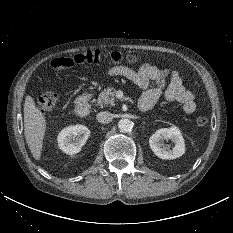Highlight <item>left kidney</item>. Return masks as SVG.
I'll return each instance as SVG.
<instances>
[{"label":"left kidney","instance_id":"5707ae66","mask_svg":"<svg viewBox=\"0 0 233 233\" xmlns=\"http://www.w3.org/2000/svg\"><path fill=\"white\" fill-rule=\"evenodd\" d=\"M170 139L174 143L172 150L164 145L163 141ZM149 145L156 156L161 159H176L185 153V142L179 128H161L150 138Z\"/></svg>","mask_w":233,"mask_h":233}]
</instances>
